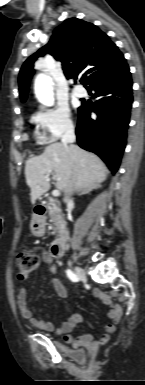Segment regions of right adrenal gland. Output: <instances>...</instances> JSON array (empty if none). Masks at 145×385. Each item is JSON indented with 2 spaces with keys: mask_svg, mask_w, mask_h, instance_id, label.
<instances>
[{
  "mask_svg": "<svg viewBox=\"0 0 145 385\" xmlns=\"http://www.w3.org/2000/svg\"><path fill=\"white\" fill-rule=\"evenodd\" d=\"M90 191V189H84L81 191V193L79 195H82V194H86Z\"/></svg>",
  "mask_w": 145,
  "mask_h": 385,
  "instance_id": "2a0ac1e0",
  "label": "right adrenal gland"
}]
</instances>
